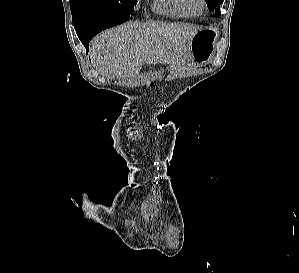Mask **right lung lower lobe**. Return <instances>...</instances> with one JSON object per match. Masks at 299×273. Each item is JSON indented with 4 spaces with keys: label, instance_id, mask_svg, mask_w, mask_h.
<instances>
[{
    "label": "right lung lower lobe",
    "instance_id": "1",
    "mask_svg": "<svg viewBox=\"0 0 299 273\" xmlns=\"http://www.w3.org/2000/svg\"><path fill=\"white\" fill-rule=\"evenodd\" d=\"M130 15L106 18L97 21H90L74 25L76 33L85 46L86 50H89L90 40L99 32L116 25H119L129 19Z\"/></svg>",
    "mask_w": 299,
    "mask_h": 273
}]
</instances>
